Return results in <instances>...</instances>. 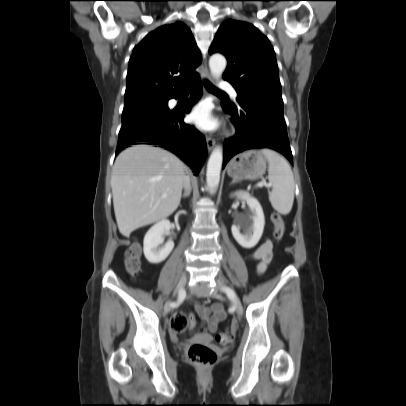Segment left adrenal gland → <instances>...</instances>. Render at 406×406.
Returning <instances> with one entry per match:
<instances>
[{
	"label": "left adrenal gland",
	"mask_w": 406,
	"mask_h": 406,
	"mask_svg": "<svg viewBox=\"0 0 406 406\" xmlns=\"http://www.w3.org/2000/svg\"><path fill=\"white\" fill-rule=\"evenodd\" d=\"M236 181L235 180H233L231 183H235Z\"/></svg>",
	"instance_id": "left-adrenal-gland-1"
}]
</instances>
